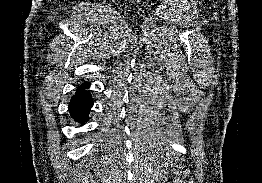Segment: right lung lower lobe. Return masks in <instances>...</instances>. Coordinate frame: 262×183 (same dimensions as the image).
Returning a JSON list of instances; mask_svg holds the SVG:
<instances>
[{
  "instance_id": "98d812e1",
  "label": "right lung lower lobe",
  "mask_w": 262,
  "mask_h": 183,
  "mask_svg": "<svg viewBox=\"0 0 262 183\" xmlns=\"http://www.w3.org/2000/svg\"><path fill=\"white\" fill-rule=\"evenodd\" d=\"M89 85L90 83L80 85L76 90V94L71 98L69 103L70 114L75 120L81 123L88 120V114L93 106L91 95L85 90Z\"/></svg>"
}]
</instances>
